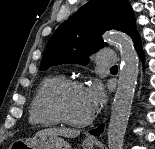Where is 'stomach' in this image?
Segmentation results:
<instances>
[{"label": "stomach", "mask_w": 155, "mask_h": 149, "mask_svg": "<svg viewBox=\"0 0 155 149\" xmlns=\"http://www.w3.org/2000/svg\"><path fill=\"white\" fill-rule=\"evenodd\" d=\"M94 142L84 140L83 149H93ZM15 149H71L70 144L57 135L40 134L31 139H20L12 145Z\"/></svg>", "instance_id": "0dacf381"}]
</instances>
